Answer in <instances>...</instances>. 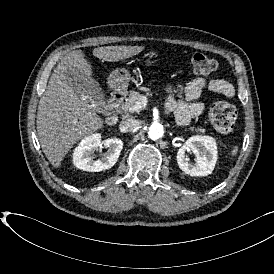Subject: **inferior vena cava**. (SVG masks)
<instances>
[{"instance_id": "602c4592", "label": "inferior vena cava", "mask_w": 274, "mask_h": 274, "mask_svg": "<svg viewBox=\"0 0 274 274\" xmlns=\"http://www.w3.org/2000/svg\"><path fill=\"white\" fill-rule=\"evenodd\" d=\"M139 125H140V122L137 119L128 118L120 122L119 129L123 133L132 132L137 130Z\"/></svg>"}]
</instances>
